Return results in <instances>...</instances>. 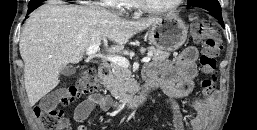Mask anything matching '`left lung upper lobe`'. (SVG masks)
<instances>
[{
    "mask_svg": "<svg viewBox=\"0 0 257 130\" xmlns=\"http://www.w3.org/2000/svg\"><path fill=\"white\" fill-rule=\"evenodd\" d=\"M188 6L207 8H220L218 0H188Z\"/></svg>",
    "mask_w": 257,
    "mask_h": 130,
    "instance_id": "left-lung-upper-lobe-1",
    "label": "left lung upper lobe"
}]
</instances>
